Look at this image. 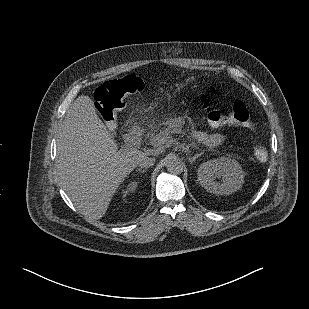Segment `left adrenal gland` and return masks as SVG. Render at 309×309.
<instances>
[{
    "label": "left adrenal gland",
    "mask_w": 309,
    "mask_h": 309,
    "mask_svg": "<svg viewBox=\"0 0 309 309\" xmlns=\"http://www.w3.org/2000/svg\"><path fill=\"white\" fill-rule=\"evenodd\" d=\"M200 156H201V154H195L193 157H192V156H189V162H190V164H193V162H195L196 159H197L198 157H200Z\"/></svg>",
    "instance_id": "a2214340"
}]
</instances>
